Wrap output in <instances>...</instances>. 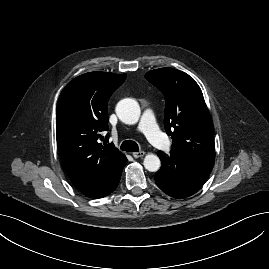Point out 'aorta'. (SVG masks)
I'll return each instance as SVG.
<instances>
[{
	"mask_svg": "<svg viewBox=\"0 0 269 269\" xmlns=\"http://www.w3.org/2000/svg\"><path fill=\"white\" fill-rule=\"evenodd\" d=\"M140 106L131 98L122 99L116 106V114L125 124H135L140 117ZM144 167L150 172H156L161 166V161L157 155L147 154L144 158Z\"/></svg>",
	"mask_w": 269,
	"mask_h": 269,
	"instance_id": "aorta-1",
	"label": "aorta"
}]
</instances>
